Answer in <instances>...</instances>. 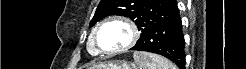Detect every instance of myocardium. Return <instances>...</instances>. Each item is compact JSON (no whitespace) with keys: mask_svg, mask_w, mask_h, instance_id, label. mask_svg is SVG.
Instances as JSON below:
<instances>
[{"mask_svg":"<svg viewBox=\"0 0 246 69\" xmlns=\"http://www.w3.org/2000/svg\"><path fill=\"white\" fill-rule=\"evenodd\" d=\"M112 21H117V22L124 24L129 29L130 37H129V40L121 47L116 48L114 50H104L101 48L99 44L98 33L107 23L112 22ZM138 36H139L138 29L134 21H132L128 17L121 16V15H113V16H110L104 19L101 23H99L96 26V28L93 31V40H94L95 45L99 48V52L101 54H108V55L120 53V52L130 49L136 43Z\"/></svg>","mask_w":246,"mask_h":69,"instance_id":"f54148a6","label":"myocardium"}]
</instances>
